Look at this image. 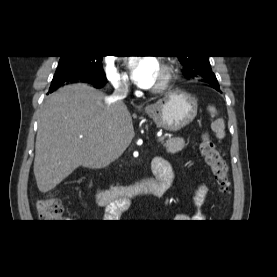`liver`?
<instances>
[{"label":"liver","instance_id":"liver-1","mask_svg":"<svg viewBox=\"0 0 277 277\" xmlns=\"http://www.w3.org/2000/svg\"><path fill=\"white\" fill-rule=\"evenodd\" d=\"M134 137L124 103L85 83L49 95L40 110L34 175L38 189L55 188L79 166L102 168L121 156Z\"/></svg>","mask_w":277,"mask_h":277}]
</instances>
